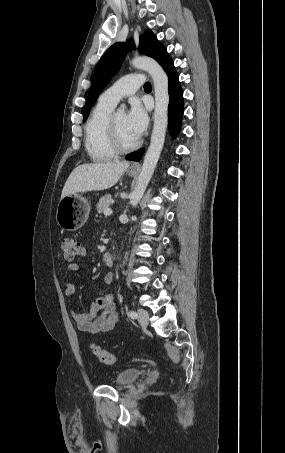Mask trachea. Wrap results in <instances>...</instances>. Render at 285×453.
Returning a JSON list of instances; mask_svg holds the SVG:
<instances>
[{
  "label": "trachea",
  "instance_id": "1",
  "mask_svg": "<svg viewBox=\"0 0 285 453\" xmlns=\"http://www.w3.org/2000/svg\"><path fill=\"white\" fill-rule=\"evenodd\" d=\"M144 88H151V83L150 82H146L144 84Z\"/></svg>",
  "mask_w": 285,
  "mask_h": 453
}]
</instances>
